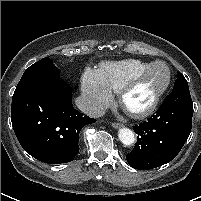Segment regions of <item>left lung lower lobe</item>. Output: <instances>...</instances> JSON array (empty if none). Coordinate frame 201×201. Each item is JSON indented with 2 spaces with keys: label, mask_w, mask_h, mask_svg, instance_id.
<instances>
[{
  "label": "left lung lower lobe",
  "mask_w": 201,
  "mask_h": 201,
  "mask_svg": "<svg viewBox=\"0 0 201 201\" xmlns=\"http://www.w3.org/2000/svg\"><path fill=\"white\" fill-rule=\"evenodd\" d=\"M192 116L189 88L172 91L148 121L133 127L138 136L135 147L126 155L129 165L148 170L173 160L190 135Z\"/></svg>",
  "instance_id": "0a47b994"
}]
</instances>
